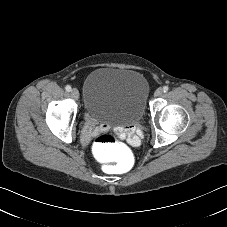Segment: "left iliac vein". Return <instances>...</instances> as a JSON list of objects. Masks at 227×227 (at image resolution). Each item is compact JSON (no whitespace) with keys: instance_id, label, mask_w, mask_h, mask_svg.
I'll return each mask as SVG.
<instances>
[{"instance_id":"4c4485c4","label":"left iliac vein","mask_w":227,"mask_h":227,"mask_svg":"<svg viewBox=\"0 0 227 227\" xmlns=\"http://www.w3.org/2000/svg\"><path fill=\"white\" fill-rule=\"evenodd\" d=\"M162 93H163V89H162V88H158V89L155 91L154 95H155L156 97H160V96L162 95Z\"/></svg>"}]
</instances>
